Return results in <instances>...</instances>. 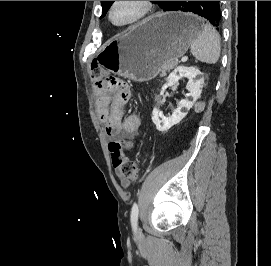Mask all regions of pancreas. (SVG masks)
Segmentation results:
<instances>
[{
    "instance_id": "cf45deb5",
    "label": "pancreas",
    "mask_w": 271,
    "mask_h": 266,
    "mask_svg": "<svg viewBox=\"0 0 271 266\" xmlns=\"http://www.w3.org/2000/svg\"><path fill=\"white\" fill-rule=\"evenodd\" d=\"M177 61H168L161 66L160 76H165L168 71L176 67Z\"/></svg>"
}]
</instances>
